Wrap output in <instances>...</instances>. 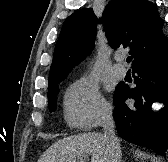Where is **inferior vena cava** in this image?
Wrapping results in <instances>:
<instances>
[{"label":"inferior vena cava","mask_w":168,"mask_h":162,"mask_svg":"<svg viewBox=\"0 0 168 162\" xmlns=\"http://www.w3.org/2000/svg\"><path fill=\"white\" fill-rule=\"evenodd\" d=\"M102 127L104 131V141L109 155V162H121V148L115 136V124L111 109H107L104 112Z\"/></svg>","instance_id":"obj_1"}]
</instances>
